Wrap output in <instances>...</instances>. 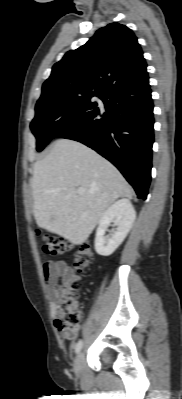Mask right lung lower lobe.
<instances>
[{
  "mask_svg": "<svg viewBox=\"0 0 182 399\" xmlns=\"http://www.w3.org/2000/svg\"><path fill=\"white\" fill-rule=\"evenodd\" d=\"M106 108L84 124L57 137L79 141L112 162L146 199L151 180L153 102L148 76L120 84L102 98Z\"/></svg>",
  "mask_w": 182,
  "mask_h": 399,
  "instance_id": "obj_1",
  "label": "right lung lower lobe"
}]
</instances>
